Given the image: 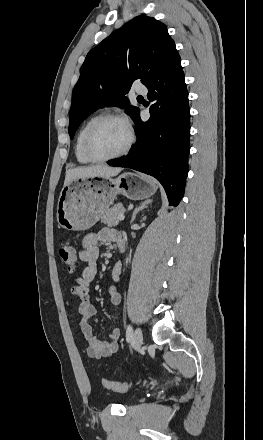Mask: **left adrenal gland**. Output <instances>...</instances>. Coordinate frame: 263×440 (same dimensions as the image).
<instances>
[{
    "label": "left adrenal gland",
    "instance_id": "left-adrenal-gland-1",
    "mask_svg": "<svg viewBox=\"0 0 263 440\" xmlns=\"http://www.w3.org/2000/svg\"><path fill=\"white\" fill-rule=\"evenodd\" d=\"M152 201L151 200H145L144 202L140 203V205L138 207H136L133 211L132 214V218H131V223L135 220L136 215L142 211L143 209L148 207V204H150Z\"/></svg>",
    "mask_w": 263,
    "mask_h": 440
}]
</instances>
